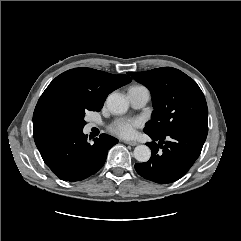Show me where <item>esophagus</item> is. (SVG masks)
<instances>
[{
  "instance_id": "34e87169",
  "label": "esophagus",
  "mask_w": 241,
  "mask_h": 241,
  "mask_svg": "<svg viewBox=\"0 0 241 241\" xmlns=\"http://www.w3.org/2000/svg\"><path fill=\"white\" fill-rule=\"evenodd\" d=\"M124 142L130 146H136L138 144L136 141H124Z\"/></svg>"
}]
</instances>
